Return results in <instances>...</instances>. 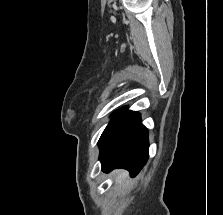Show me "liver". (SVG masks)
Here are the masks:
<instances>
[{"instance_id":"6515ba94","label":"liver","mask_w":223,"mask_h":215,"mask_svg":"<svg viewBox=\"0 0 223 215\" xmlns=\"http://www.w3.org/2000/svg\"><path fill=\"white\" fill-rule=\"evenodd\" d=\"M113 173L116 175V183H122L125 177H128V171H126V169H116V171H113Z\"/></svg>"}]
</instances>
